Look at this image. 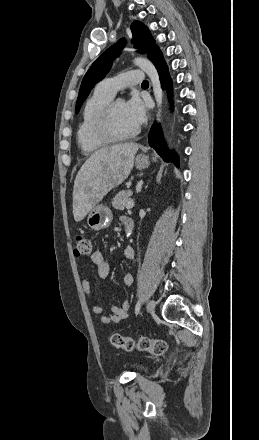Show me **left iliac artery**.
<instances>
[{
	"instance_id": "1",
	"label": "left iliac artery",
	"mask_w": 259,
	"mask_h": 440,
	"mask_svg": "<svg viewBox=\"0 0 259 440\" xmlns=\"http://www.w3.org/2000/svg\"><path fill=\"white\" fill-rule=\"evenodd\" d=\"M140 307H141V303H140V301H138V302L136 303V306H135V313H136V314L139 313V311H140Z\"/></svg>"
}]
</instances>
